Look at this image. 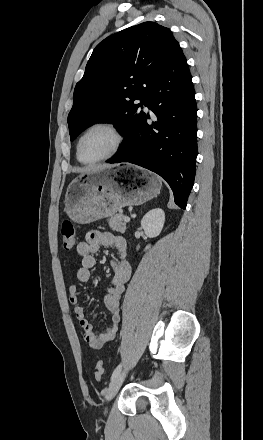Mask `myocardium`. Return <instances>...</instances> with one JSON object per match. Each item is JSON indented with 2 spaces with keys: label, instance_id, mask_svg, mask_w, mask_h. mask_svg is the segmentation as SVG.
<instances>
[{
  "label": "myocardium",
  "instance_id": "f54148a6",
  "mask_svg": "<svg viewBox=\"0 0 263 440\" xmlns=\"http://www.w3.org/2000/svg\"><path fill=\"white\" fill-rule=\"evenodd\" d=\"M107 128L109 129L115 136V144L114 147L112 148V150L105 156L96 159V160H92V161H85L80 157V146H81V142L83 140V138L93 129L95 128ZM125 141V135L122 131V129L113 121L110 120H99L96 122H93L92 124H90L88 127L85 128V130L81 133V135L79 136L77 143H76V156L77 159L79 160V162H81L82 164H86V165H94V164H98L104 161L109 160L110 158L114 157L122 148L123 144Z\"/></svg>",
  "mask_w": 263,
  "mask_h": 440
}]
</instances>
